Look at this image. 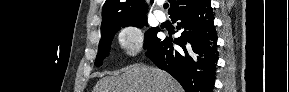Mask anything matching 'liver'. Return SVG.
<instances>
[{
    "instance_id": "6515ba94",
    "label": "liver",
    "mask_w": 289,
    "mask_h": 92,
    "mask_svg": "<svg viewBox=\"0 0 289 92\" xmlns=\"http://www.w3.org/2000/svg\"><path fill=\"white\" fill-rule=\"evenodd\" d=\"M93 92H182V88L167 72L134 64L100 79Z\"/></svg>"
}]
</instances>
